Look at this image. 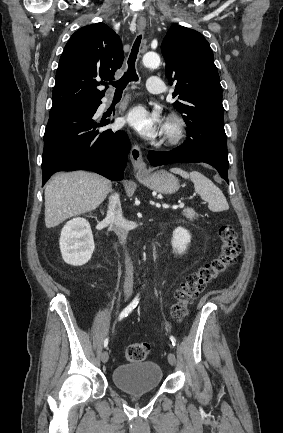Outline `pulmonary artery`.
<instances>
[{
  "label": "pulmonary artery",
  "instance_id": "1",
  "mask_svg": "<svg viewBox=\"0 0 283 433\" xmlns=\"http://www.w3.org/2000/svg\"><path fill=\"white\" fill-rule=\"evenodd\" d=\"M146 90L147 92H162L163 90L162 78H147Z\"/></svg>",
  "mask_w": 283,
  "mask_h": 433
}]
</instances>
